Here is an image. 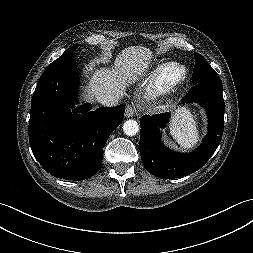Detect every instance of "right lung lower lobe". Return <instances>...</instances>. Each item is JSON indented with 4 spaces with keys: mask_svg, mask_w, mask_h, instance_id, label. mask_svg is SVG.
Returning a JSON list of instances; mask_svg holds the SVG:
<instances>
[{
    "mask_svg": "<svg viewBox=\"0 0 253 253\" xmlns=\"http://www.w3.org/2000/svg\"><path fill=\"white\" fill-rule=\"evenodd\" d=\"M79 77L73 56L47 67L34 91L29 120L32 152L51 175L83 180L101 167L103 147L123 120L125 106L74 107Z\"/></svg>",
    "mask_w": 253,
    "mask_h": 253,
    "instance_id": "98d812e1",
    "label": "right lung lower lobe"
}]
</instances>
